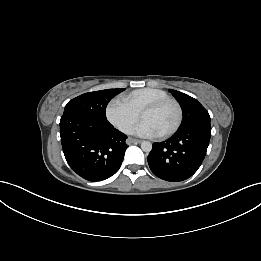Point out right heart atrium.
<instances>
[{
    "instance_id": "right-heart-atrium-1",
    "label": "right heart atrium",
    "mask_w": 261,
    "mask_h": 261,
    "mask_svg": "<svg viewBox=\"0 0 261 261\" xmlns=\"http://www.w3.org/2000/svg\"><path fill=\"white\" fill-rule=\"evenodd\" d=\"M107 120L119 131L130 133L139 119V113L123 98H113L106 107Z\"/></svg>"
}]
</instances>
